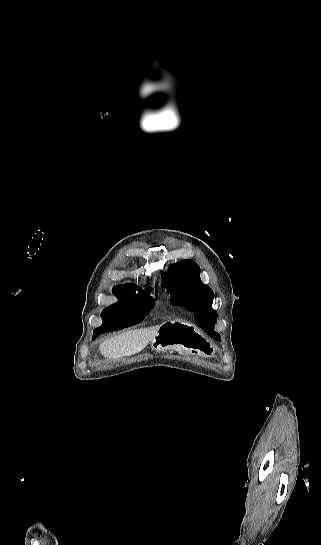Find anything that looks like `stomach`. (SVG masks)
I'll use <instances>...</instances> for the list:
<instances>
[{
	"instance_id": "stomach-1",
	"label": "stomach",
	"mask_w": 321,
	"mask_h": 545,
	"mask_svg": "<svg viewBox=\"0 0 321 545\" xmlns=\"http://www.w3.org/2000/svg\"><path fill=\"white\" fill-rule=\"evenodd\" d=\"M151 349L166 353V351H178L188 355H208L209 343L192 323L183 321H167L159 327L151 341Z\"/></svg>"
}]
</instances>
